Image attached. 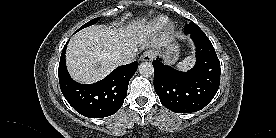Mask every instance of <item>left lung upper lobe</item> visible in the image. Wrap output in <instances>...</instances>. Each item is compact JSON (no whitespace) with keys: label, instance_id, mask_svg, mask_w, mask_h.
Masks as SVG:
<instances>
[{"label":"left lung upper lobe","instance_id":"5c2ea615","mask_svg":"<svg viewBox=\"0 0 276 138\" xmlns=\"http://www.w3.org/2000/svg\"><path fill=\"white\" fill-rule=\"evenodd\" d=\"M198 31H201V29L194 22L186 24V26H185V34L198 32Z\"/></svg>","mask_w":276,"mask_h":138}]
</instances>
